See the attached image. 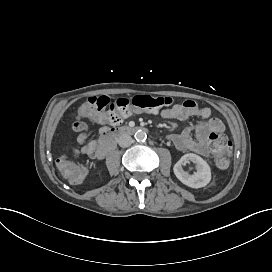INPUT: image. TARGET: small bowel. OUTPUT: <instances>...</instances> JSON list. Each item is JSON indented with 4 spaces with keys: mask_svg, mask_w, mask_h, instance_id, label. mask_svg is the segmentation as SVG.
<instances>
[{
    "mask_svg": "<svg viewBox=\"0 0 272 272\" xmlns=\"http://www.w3.org/2000/svg\"><path fill=\"white\" fill-rule=\"evenodd\" d=\"M160 114L166 119L180 121L189 118L205 120L169 137L175 148L182 152L191 151L204 157L209 156L212 153V147L208 140L209 134L214 131L223 134L225 129L220 119L211 117L210 108L199 106L194 100L190 99L165 108L161 110ZM95 121L104 123L100 118H96ZM192 133L195 134V138H193ZM77 143L81 154L91 159H99L97 156L98 146L95 141L89 142L87 136L77 138Z\"/></svg>",
    "mask_w": 272,
    "mask_h": 272,
    "instance_id": "obj_1",
    "label": "small bowel"
}]
</instances>
